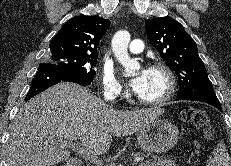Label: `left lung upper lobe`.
<instances>
[{
    "mask_svg": "<svg viewBox=\"0 0 231 166\" xmlns=\"http://www.w3.org/2000/svg\"><path fill=\"white\" fill-rule=\"evenodd\" d=\"M147 37L166 64L178 76L179 92H214L195 41L183 26L171 17L145 21Z\"/></svg>",
    "mask_w": 231,
    "mask_h": 166,
    "instance_id": "5c2ea615",
    "label": "left lung upper lobe"
}]
</instances>
